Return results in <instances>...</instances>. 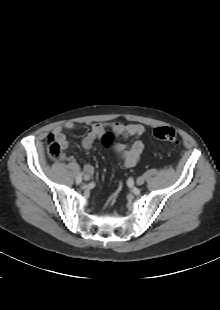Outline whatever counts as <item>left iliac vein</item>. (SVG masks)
Returning <instances> with one entry per match:
<instances>
[{
    "label": "left iliac vein",
    "instance_id": "4c4485c4",
    "mask_svg": "<svg viewBox=\"0 0 220 310\" xmlns=\"http://www.w3.org/2000/svg\"><path fill=\"white\" fill-rule=\"evenodd\" d=\"M137 185H142L144 183V178L143 177H138L136 180Z\"/></svg>",
    "mask_w": 220,
    "mask_h": 310
}]
</instances>
